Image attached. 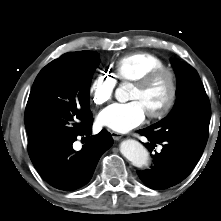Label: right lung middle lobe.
I'll use <instances>...</instances> for the list:
<instances>
[{"instance_id": "right-lung-middle-lobe-1", "label": "right lung middle lobe", "mask_w": 221, "mask_h": 221, "mask_svg": "<svg viewBox=\"0 0 221 221\" xmlns=\"http://www.w3.org/2000/svg\"><path fill=\"white\" fill-rule=\"evenodd\" d=\"M100 62L93 51L66 53L36 77L25 110L28 143L69 140L92 119L90 83Z\"/></svg>"}]
</instances>
